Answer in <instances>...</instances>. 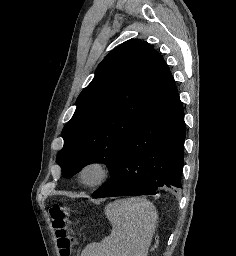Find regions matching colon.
Returning <instances> with one entry per match:
<instances>
[{"instance_id": "5ec220e1", "label": "colon", "mask_w": 236, "mask_h": 256, "mask_svg": "<svg viewBox=\"0 0 236 256\" xmlns=\"http://www.w3.org/2000/svg\"><path fill=\"white\" fill-rule=\"evenodd\" d=\"M48 216L56 237L59 256H71L74 239L67 230L69 209L61 203H53L48 208Z\"/></svg>"}]
</instances>
